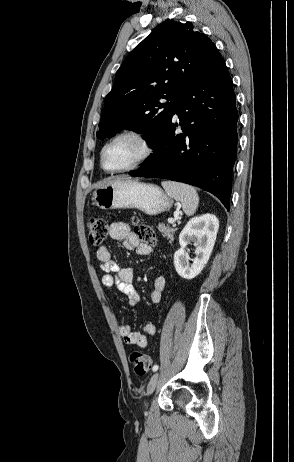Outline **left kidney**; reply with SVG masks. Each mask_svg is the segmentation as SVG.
Instances as JSON below:
<instances>
[{
  "label": "left kidney",
  "instance_id": "obj_1",
  "mask_svg": "<svg viewBox=\"0 0 294 462\" xmlns=\"http://www.w3.org/2000/svg\"><path fill=\"white\" fill-rule=\"evenodd\" d=\"M219 221L213 214H204L189 220L179 235L180 249L174 254V266L184 279H193L201 273L213 250ZM190 242L196 246V257L189 265L186 247Z\"/></svg>",
  "mask_w": 294,
  "mask_h": 462
}]
</instances>
